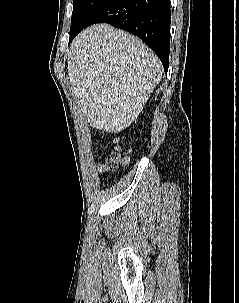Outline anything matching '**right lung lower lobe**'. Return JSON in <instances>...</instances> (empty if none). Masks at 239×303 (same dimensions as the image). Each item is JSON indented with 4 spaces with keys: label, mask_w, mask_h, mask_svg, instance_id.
<instances>
[{
    "label": "right lung lower lobe",
    "mask_w": 239,
    "mask_h": 303,
    "mask_svg": "<svg viewBox=\"0 0 239 303\" xmlns=\"http://www.w3.org/2000/svg\"><path fill=\"white\" fill-rule=\"evenodd\" d=\"M170 18V0H105L92 13L84 28L95 23H108L138 36L156 53L167 72ZM77 34L70 37L69 43Z\"/></svg>",
    "instance_id": "right-lung-lower-lobe-1"
}]
</instances>
